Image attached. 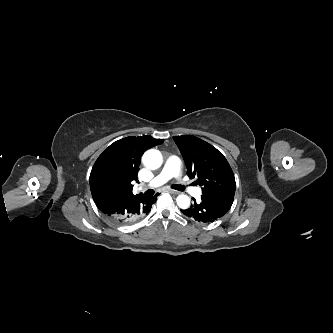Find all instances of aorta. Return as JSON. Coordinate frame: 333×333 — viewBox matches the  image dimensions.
<instances>
[{
	"label": "aorta",
	"mask_w": 333,
	"mask_h": 333,
	"mask_svg": "<svg viewBox=\"0 0 333 333\" xmlns=\"http://www.w3.org/2000/svg\"><path fill=\"white\" fill-rule=\"evenodd\" d=\"M143 164L150 169H157L162 164V154L155 149L148 150L144 153ZM177 205L182 209H187L190 205V198L187 195H179L176 199Z\"/></svg>",
	"instance_id": "aorta-1"
}]
</instances>
